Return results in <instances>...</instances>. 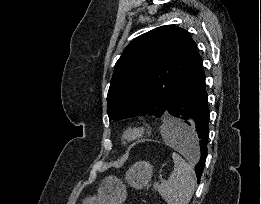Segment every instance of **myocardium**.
Wrapping results in <instances>:
<instances>
[{
  "instance_id": "myocardium-1",
  "label": "myocardium",
  "mask_w": 261,
  "mask_h": 204,
  "mask_svg": "<svg viewBox=\"0 0 261 204\" xmlns=\"http://www.w3.org/2000/svg\"><path fill=\"white\" fill-rule=\"evenodd\" d=\"M147 133V126L141 123L128 125L123 133L122 139L126 143H134L142 139Z\"/></svg>"
}]
</instances>
